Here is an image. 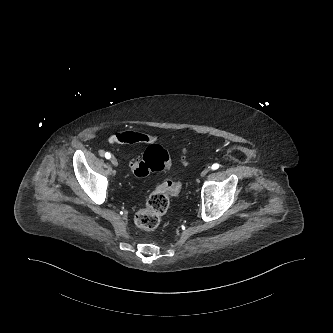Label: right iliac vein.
<instances>
[{
  "label": "right iliac vein",
  "instance_id": "right-iliac-vein-1",
  "mask_svg": "<svg viewBox=\"0 0 333 333\" xmlns=\"http://www.w3.org/2000/svg\"><path fill=\"white\" fill-rule=\"evenodd\" d=\"M111 163H112V165L115 166V167L118 166V161H117V159H116L114 156L111 157Z\"/></svg>",
  "mask_w": 333,
  "mask_h": 333
}]
</instances>
